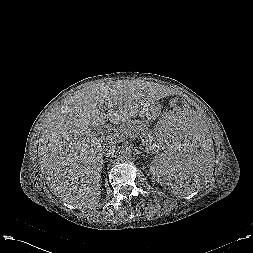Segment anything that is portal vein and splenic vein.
Masks as SVG:
<instances>
[{"instance_id":"portal-vein-and-splenic-vein-1","label":"portal vein and splenic vein","mask_w":253,"mask_h":253,"mask_svg":"<svg viewBox=\"0 0 253 253\" xmlns=\"http://www.w3.org/2000/svg\"><path fill=\"white\" fill-rule=\"evenodd\" d=\"M111 135L116 136V137H120L119 134H112V133H109V136H111ZM140 137H141V136H140ZM141 140H142V142H143V139H142V138H141ZM147 142H149V141L147 140ZM150 145H151V143H149V145L146 146V147H149Z\"/></svg>"}]
</instances>
